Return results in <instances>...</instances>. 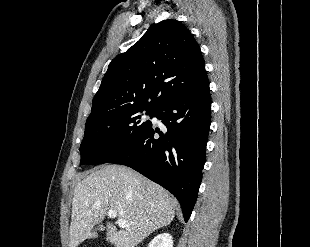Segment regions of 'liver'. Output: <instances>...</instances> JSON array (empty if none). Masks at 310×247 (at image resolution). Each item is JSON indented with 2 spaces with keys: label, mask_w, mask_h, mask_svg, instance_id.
Segmentation results:
<instances>
[{
  "label": "liver",
  "mask_w": 310,
  "mask_h": 247,
  "mask_svg": "<svg viewBox=\"0 0 310 247\" xmlns=\"http://www.w3.org/2000/svg\"><path fill=\"white\" fill-rule=\"evenodd\" d=\"M177 201L166 190L126 166L106 165L92 171L74 189L69 247L93 234L109 210L126 227L108 222L106 240L115 247H135L155 230L169 225Z\"/></svg>",
  "instance_id": "obj_1"
}]
</instances>
